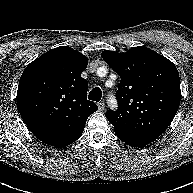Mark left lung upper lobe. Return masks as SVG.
Masks as SVG:
<instances>
[{
  "instance_id": "1",
  "label": "left lung upper lobe",
  "mask_w": 193,
  "mask_h": 193,
  "mask_svg": "<svg viewBox=\"0 0 193 193\" xmlns=\"http://www.w3.org/2000/svg\"><path fill=\"white\" fill-rule=\"evenodd\" d=\"M101 56L121 77L116 93L118 110L106 113L114 130L158 135L165 132L181 100L175 65L144 46L126 53L106 50Z\"/></svg>"
}]
</instances>
